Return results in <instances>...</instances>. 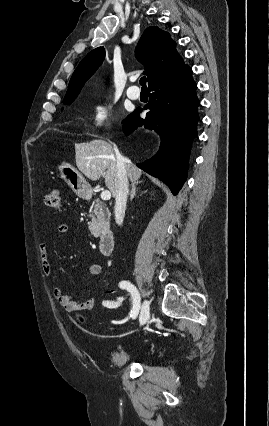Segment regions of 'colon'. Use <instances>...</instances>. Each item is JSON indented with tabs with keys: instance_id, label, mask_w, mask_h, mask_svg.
I'll use <instances>...</instances> for the list:
<instances>
[{
	"instance_id": "1",
	"label": "colon",
	"mask_w": 269,
	"mask_h": 426,
	"mask_svg": "<svg viewBox=\"0 0 269 426\" xmlns=\"http://www.w3.org/2000/svg\"><path fill=\"white\" fill-rule=\"evenodd\" d=\"M45 204L52 209L61 208V189L59 187L50 189L45 196Z\"/></svg>"
}]
</instances>
